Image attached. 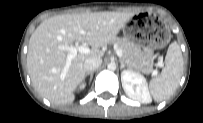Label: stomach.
<instances>
[{
  "mask_svg": "<svg viewBox=\"0 0 203 123\" xmlns=\"http://www.w3.org/2000/svg\"><path fill=\"white\" fill-rule=\"evenodd\" d=\"M125 37L133 44L142 47L150 57L154 51L165 47L171 34L167 26L155 16L143 15L140 22L134 20L132 25L123 28Z\"/></svg>",
  "mask_w": 203,
  "mask_h": 123,
  "instance_id": "obj_1",
  "label": "stomach"
}]
</instances>
